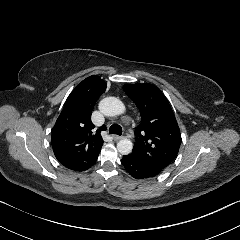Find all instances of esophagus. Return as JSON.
Returning a JSON list of instances; mask_svg holds the SVG:
<instances>
[{"label":"esophagus","instance_id":"1","mask_svg":"<svg viewBox=\"0 0 240 240\" xmlns=\"http://www.w3.org/2000/svg\"><path fill=\"white\" fill-rule=\"evenodd\" d=\"M124 138V136H118V135H114L113 136V139L115 140V141H119V140H121V139H123Z\"/></svg>","mask_w":240,"mask_h":240}]
</instances>
